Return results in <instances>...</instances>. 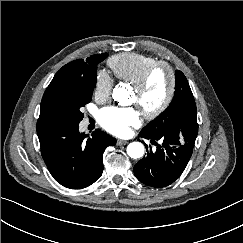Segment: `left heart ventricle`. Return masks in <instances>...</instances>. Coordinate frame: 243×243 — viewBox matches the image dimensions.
Wrapping results in <instances>:
<instances>
[{
	"label": "left heart ventricle",
	"instance_id": "obj_1",
	"mask_svg": "<svg viewBox=\"0 0 243 243\" xmlns=\"http://www.w3.org/2000/svg\"><path fill=\"white\" fill-rule=\"evenodd\" d=\"M168 84V75L164 68H157L151 74L142 93L131 90V103L139 108L149 107L155 104L165 93Z\"/></svg>",
	"mask_w": 243,
	"mask_h": 243
}]
</instances>
